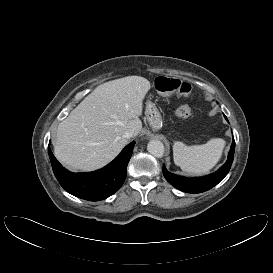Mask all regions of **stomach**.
Listing matches in <instances>:
<instances>
[{
	"label": "stomach",
	"mask_w": 273,
	"mask_h": 273,
	"mask_svg": "<svg viewBox=\"0 0 273 273\" xmlns=\"http://www.w3.org/2000/svg\"><path fill=\"white\" fill-rule=\"evenodd\" d=\"M173 79L164 76V75H159L154 78L153 85L155 90L157 91L158 94L162 96H170L175 92V88L173 87ZM145 115L150 123V125L158 130L162 126V117L161 114L156 107L155 103L152 101L148 100L146 103V110H145Z\"/></svg>",
	"instance_id": "1"
}]
</instances>
